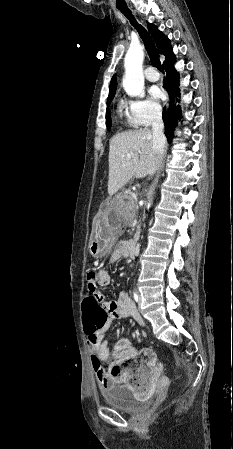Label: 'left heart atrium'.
<instances>
[{"instance_id": "obj_1", "label": "left heart atrium", "mask_w": 233, "mask_h": 449, "mask_svg": "<svg viewBox=\"0 0 233 449\" xmlns=\"http://www.w3.org/2000/svg\"><path fill=\"white\" fill-rule=\"evenodd\" d=\"M149 93L154 99H160L162 97L161 90L157 86H152Z\"/></svg>"}]
</instances>
